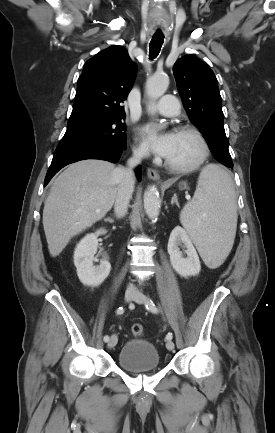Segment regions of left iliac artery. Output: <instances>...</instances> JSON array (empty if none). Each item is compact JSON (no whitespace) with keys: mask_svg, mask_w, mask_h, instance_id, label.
I'll return each instance as SVG.
<instances>
[{"mask_svg":"<svg viewBox=\"0 0 275 433\" xmlns=\"http://www.w3.org/2000/svg\"><path fill=\"white\" fill-rule=\"evenodd\" d=\"M145 306H146V309H147V310H149V311H151V312H153V313H157V312H158V308L155 306V304L153 303V301H152L151 299H148V300L146 301ZM172 337H173V336H172V333H168V334L166 335V339H167V340H171Z\"/></svg>","mask_w":275,"mask_h":433,"instance_id":"obj_1","label":"left iliac artery"}]
</instances>
